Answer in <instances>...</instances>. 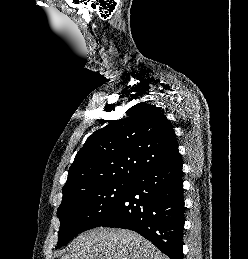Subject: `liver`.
Returning <instances> with one entry per match:
<instances>
[{
    "label": "liver",
    "instance_id": "liver-1",
    "mask_svg": "<svg viewBox=\"0 0 248 259\" xmlns=\"http://www.w3.org/2000/svg\"><path fill=\"white\" fill-rule=\"evenodd\" d=\"M60 259H169L141 235L126 229L96 228L80 234Z\"/></svg>",
    "mask_w": 248,
    "mask_h": 259
}]
</instances>
